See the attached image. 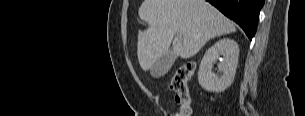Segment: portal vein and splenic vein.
Wrapping results in <instances>:
<instances>
[{"mask_svg": "<svg viewBox=\"0 0 305 116\" xmlns=\"http://www.w3.org/2000/svg\"><path fill=\"white\" fill-rule=\"evenodd\" d=\"M177 36H181V34L178 33Z\"/></svg>", "mask_w": 305, "mask_h": 116, "instance_id": "portal-vein-and-splenic-vein-1", "label": "portal vein and splenic vein"}]
</instances>
